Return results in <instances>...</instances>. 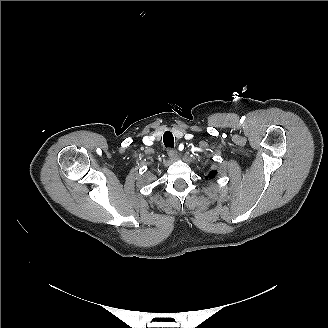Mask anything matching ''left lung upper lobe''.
<instances>
[{"mask_svg": "<svg viewBox=\"0 0 328 328\" xmlns=\"http://www.w3.org/2000/svg\"><path fill=\"white\" fill-rule=\"evenodd\" d=\"M217 174V172L216 171H211L210 173H209V178L211 179H213L214 177H215V175ZM206 179H208V177H206Z\"/></svg>", "mask_w": 328, "mask_h": 328, "instance_id": "1", "label": "left lung upper lobe"}]
</instances>
